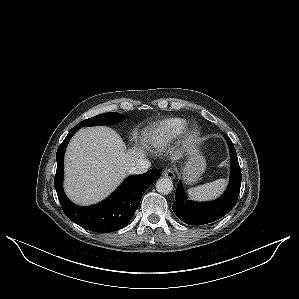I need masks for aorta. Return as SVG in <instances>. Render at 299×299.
Returning a JSON list of instances; mask_svg holds the SVG:
<instances>
[{
    "label": "aorta",
    "instance_id": "762f6f07",
    "mask_svg": "<svg viewBox=\"0 0 299 299\" xmlns=\"http://www.w3.org/2000/svg\"><path fill=\"white\" fill-rule=\"evenodd\" d=\"M156 190L160 194L167 195L173 190V183L170 178L162 177L156 182Z\"/></svg>",
    "mask_w": 299,
    "mask_h": 299
}]
</instances>
